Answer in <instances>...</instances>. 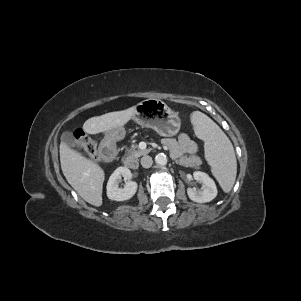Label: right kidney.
<instances>
[{
    "instance_id": "ca27d5eb",
    "label": "right kidney",
    "mask_w": 301,
    "mask_h": 301,
    "mask_svg": "<svg viewBox=\"0 0 301 301\" xmlns=\"http://www.w3.org/2000/svg\"><path fill=\"white\" fill-rule=\"evenodd\" d=\"M126 181L123 188L119 187L121 177ZM132 174L127 167H118L110 176L107 183V197L114 201H125L132 198L137 191V183L131 181Z\"/></svg>"
}]
</instances>
